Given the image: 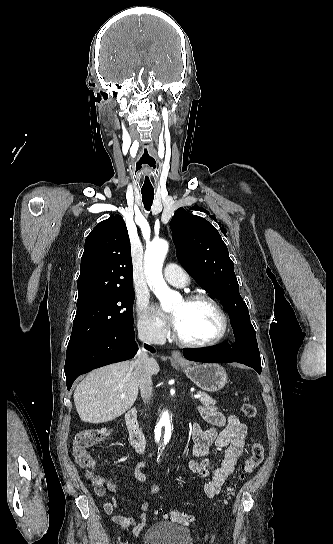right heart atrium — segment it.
<instances>
[{"mask_svg": "<svg viewBox=\"0 0 333 544\" xmlns=\"http://www.w3.org/2000/svg\"><path fill=\"white\" fill-rule=\"evenodd\" d=\"M137 327L140 336L151 342L162 341L167 330L161 320L150 311L147 298H139L136 303Z\"/></svg>", "mask_w": 333, "mask_h": 544, "instance_id": "d8ad5b80", "label": "right heart atrium"}]
</instances>
